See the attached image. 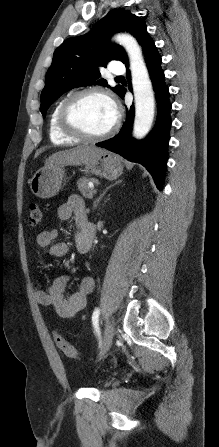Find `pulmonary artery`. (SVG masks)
<instances>
[{
    "mask_svg": "<svg viewBox=\"0 0 219 447\" xmlns=\"http://www.w3.org/2000/svg\"><path fill=\"white\" fill-rule=\"evenodd\" d=\"M110 71L114 75H122L125 73V66L122 62L116 61L111 65Z\"/></svg>",
    "mask_w": 219,
    "mask_h": 447,
    "instance_id": "1",
    "label": "pulmonary artery"
}]
</instances>
